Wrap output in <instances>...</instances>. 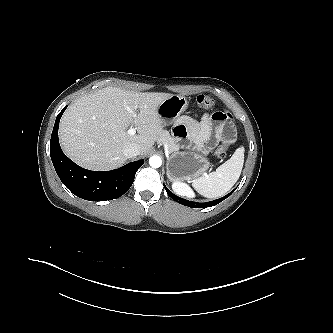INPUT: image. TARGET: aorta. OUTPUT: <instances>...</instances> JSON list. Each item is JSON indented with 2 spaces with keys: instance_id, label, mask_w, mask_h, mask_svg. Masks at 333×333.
Here are the masks:
<instances>
[{
  "instance_id": "aorta-1",
  "label": "aorta",
  "mask_w": 333,
  "mask_h": 333,
  "mask_svg": "<svg viewBox=\"0 0 333 333\" xmlns=\"http://www.w3.org/2000/svg\"><path fill=\"white\" fill-rule=\"evenodd\" d=\"M149 164L153 168H159L162 164V160L159 156L154 155L149 158Z\"/></svg>"
}]
</instances>
